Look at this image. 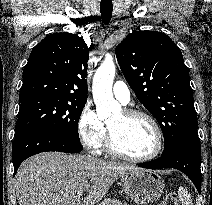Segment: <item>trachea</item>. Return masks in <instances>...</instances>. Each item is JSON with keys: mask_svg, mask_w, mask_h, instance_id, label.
<instances>
[{"mask_svg": "<svg viewBox=\"0 0 212 205\" xmlns=\"http://www.w3.org/2000/svg\"><path fill=\"white\" fill-rule=\"evenodd\" d=\"M100 11H101L102 21L105 24H108L112 17V11H113L112 4H100Z\"/></svg>", "mask_w": 212, "mask_h": 205, "instance_id": "3493384b", "label": "trachea"}]
</instances>
